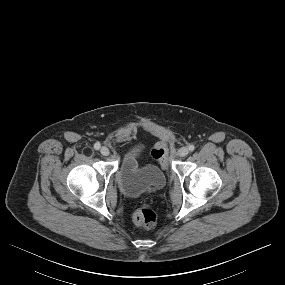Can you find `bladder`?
<instances>
[{
  "label": "bladder",
  "instance_id": "bladder-1",
  "mask_svg": "<svg viewBox=\"0 0 285 285\" xmlns=\"http://www.w3.org/2000/svg\"><path fill=\"white\" fill-rule=\"evenodd\" d=\"M142 150L141 143L131 145L124 153L116 173L118 186L128 196L159 189L166 183V177L159 167L139 164Z\"/></svg>",
  "mask_w": 285,
  "mask_h": 285
}]
</instances>
